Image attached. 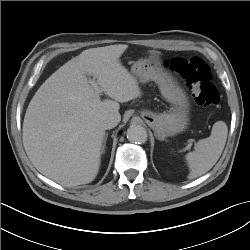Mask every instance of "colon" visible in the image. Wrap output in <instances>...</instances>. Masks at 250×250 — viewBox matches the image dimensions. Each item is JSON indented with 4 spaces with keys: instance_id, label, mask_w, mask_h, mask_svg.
<instances>
[{
    "instance_id": "colon-1",
    "label": "colon",
    "mask_w": 250,
    "mask_h": 250,
    "mask_svg": "<svg viewBox=\"0 0 250 250\" xmlns=\"http://www.w3.org/2000/svg\"><path fill=\"white\" fill-rule=\"evenodd\" d=\"M167 66L185 80L199 105L214 107L219 103L220 95L212 82L210 68L201 58L177 57L171 59Z\"/></svg>"
}]
</instances>
